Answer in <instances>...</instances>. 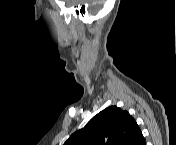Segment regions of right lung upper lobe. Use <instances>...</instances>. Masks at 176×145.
Returning a JSON list of instances; mask_svg holds the SVG:
<instances>
[{
  "mask_svg": "<svg viewBox=\"0 0 176 145\" xmlns=\"http://www.w3.org/2000/svg\"><path fill=\"white\" fill-rule=\"evenodd\" d=\"M64 145H145V140L134 118L111 106L73 133Z\"/></svg>",
  "mask_w": 176,
  "mask_h": 145,
  "instance_id": "1",
  "label": "right lung upper lobe"
}]
</instances>
